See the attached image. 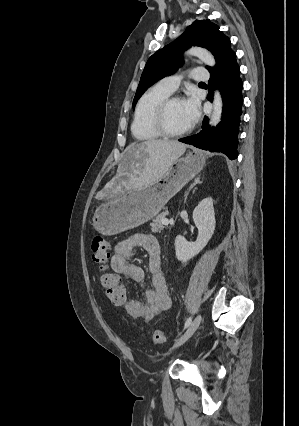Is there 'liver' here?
Listing matches in <instances>:
<instances>
[{
  "label": "liver",
  "instance_id": "6515ba94",
  "mask_svg": "<svg viewBox=\"0 0 299 426\" xmlns=\"http://www.w3.org/2000/svg\"><path fill=\"white\" fill-rule=\"evenodd\" d=\"M186 151L177 141L152 139L130 144L117 170V177L126 175L134 187L147 186L160 179L173 162Z\"/></svg>",
  "mask_w": 299,
  "mask_h": 426
}]
</instances>
